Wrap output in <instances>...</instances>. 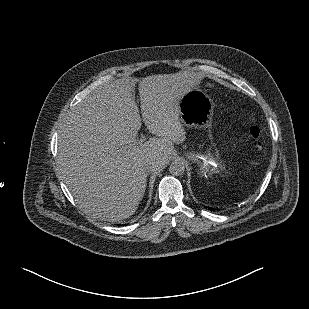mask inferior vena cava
<instances>
[{
  "mask_svg": "<svg viewBox=\"0 0 309 309\" xmlns=\"http://www.w3.org/2000/svg\"><path fill=\"white\" fill-rule=\"evenodd\" d=\"M161 167H162V165H156V163H152V164L149 166V169H150V171H153V170L159 169V168H161Z\"/></svg>",
  "mask_w": 309,
  "mask_h": 309,
  "instance_id": "602c4592",
  "label": "inferior vena cava"
}]
</instances>
